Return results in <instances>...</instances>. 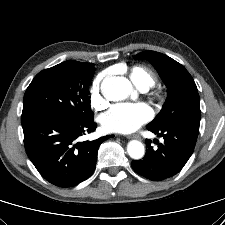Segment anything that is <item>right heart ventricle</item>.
Listing matches in <instances>:
<instances>
[{"mask_svg":"<svg viewBox=\"0 0 225 225\" xmlns=\"http://www.w3.org/2000/svg\"><path fill=\"white\" fill-rule=\"evenodd\" d=\"M131 81L141 90H148L156 83V76L142 65H135L129 69Z\"/></svg>","mask_w":225,"mask_h":225,"instance_id":"1","label":"right heart ventricle"}]
</instances>
